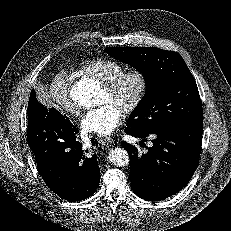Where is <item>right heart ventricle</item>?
<instances>
[{"mask_svg": "<svg viewBox=\"0 0 231 231\" xmlns=\"http://www.w3.org/2000/svg\"><path fill=\"white\" fill-rule=\"evenodd\" d=\"M125 67L111 59H95L80 65L77 71L85 76L91 77L101 84H107L120 73Z\"/></svg>", "mask_w": 231, "mask_h": 231, "instance_id": "right-heart-ventricle-1", "label": "right heart ventricle"}]
</instances>
